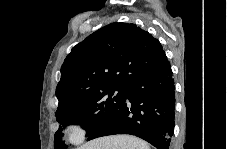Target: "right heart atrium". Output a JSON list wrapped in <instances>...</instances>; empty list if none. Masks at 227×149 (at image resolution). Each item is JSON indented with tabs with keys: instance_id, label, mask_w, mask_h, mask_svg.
Masks as SVG:
<instances>
[{
	"instance_id": "1",
	"label": "right heart atrium",
	"mask_w": 227,
	"mask_h": 149,
	"mask_svg": "<svg viewBox=\"0 0 227 149\" xmlns=\"http://www.w3.org/2000/svg\"><path fill=\"white\" fill-rule=\"evenodd\" d=\"M71 134H72L73 137L78 138L80 136L81 132H80L79 128L72 127L71 128Z\"/></svg>"
}]
</instances>
